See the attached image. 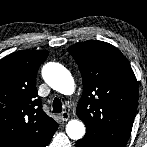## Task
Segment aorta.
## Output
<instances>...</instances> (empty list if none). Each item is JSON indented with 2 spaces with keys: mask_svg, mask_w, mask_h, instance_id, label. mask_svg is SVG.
Returning a JSON list of instances; mask_svg holds the SVG:
<instances>
[{
  "mask_svg": "<svg viewBox=\"0 0 147 147\" xmlns=\"http://www.w3.org/2000/svg\"><path fill=\"white\" fill-rule=\"evenodd\" d=\"M42 75L46 83L54 90L70 95L74 91V80L70 72L58 63H48L43 67ZM66 133L73 140L81 139L85 134V125L72 119L66 125Z\"/></svg>",
  "mask_w": 147,
  "mask_h": 147,
  "instance_id": "obj_1",
  "label": "aorta"
}]
</instances>
